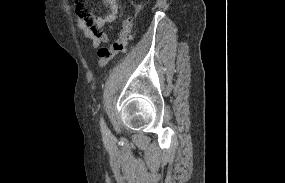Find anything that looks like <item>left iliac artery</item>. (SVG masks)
I'll list each match as a JSON object with an SVG mask.
<instances>
[{"label": "left iliac artery", "mask_w": 285, "mask_h": 183, "mask_svg": "<svg viewBox=\"0 0 285 183\" xmlns=\"http://www.w3.org/2000/svg\"><path fill=\"white\" fill-rule=\"evenodd\" d=\"M100 127H101V131L106 134L109 135L110 134V130L108 129L105 120L103 117L100 118Z\"/></svg>", "instance_id": "obj_1"}]
</instances>
